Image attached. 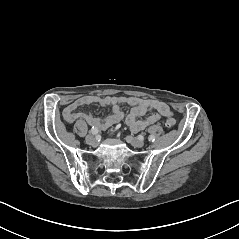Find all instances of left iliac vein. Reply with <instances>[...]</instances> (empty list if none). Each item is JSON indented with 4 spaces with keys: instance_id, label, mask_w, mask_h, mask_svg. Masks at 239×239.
<instances>
[{
    "instance_id": "obj_1",
    "label": "left iliac vein",
    "mask_w": 239,
    "mask_h": 239,
    "mask_svg": "<svg viewBox=\"0 0 239 239\" xmlns=\"http://www.w3.org/2000/svg\"><path fill=\"white\" fill-rule=\"evenodd\" d=\"M126 140L128 143H130L132 146L136 147V148H141L144 146V142L142 140H139L135 137L132 136H127Z\"/></svg>"
}]
</instances>
